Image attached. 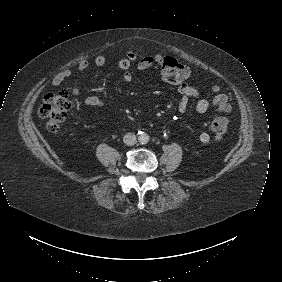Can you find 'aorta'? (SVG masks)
Returning <instances> with one entry per match:
<instances>
[{
    "label": "aorta",
    "mask_w": 282,
    "mask_h": 282,
    "mask_svg": "<svg viewBox=\"0 0 282 282\" xmlns=\"http://www.w3.org/2000/svg\"><path fill=\"white\" fill-rule=\"evenodd\" d=\"M137 140L140 144L145 145L150 140V135L145 132H140L137 136Z\"/></svg>",
    "instance_id": "aorta-1"
}]
</instances>
